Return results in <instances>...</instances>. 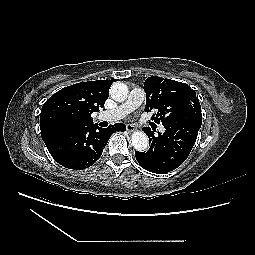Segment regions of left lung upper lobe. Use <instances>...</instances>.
Instances as JSON below:
<instances>
[{
    "mask_svg": "<svg viewBox=\"0 0 255 255\" xmlns=\"http://www.w3.org/2000/svg\"><path fill=\"white\" fill-rule=\"evenodd\" d=\"M145 111L156 110L152 116L163 125L202 121L201 106L196 93L187 84L152 76L144 83Z\"/></svg>",
    "mask_w": 255,
    "mask_h": 255,
    "instance_id": "left-lung-upper-lobe-1",
    "label": "left lung upper lobe"
}]
</instances>
